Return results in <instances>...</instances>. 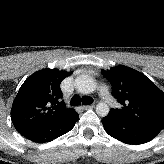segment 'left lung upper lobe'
Masks as SVG:
<instances>
[{"mask_svg": "<svg viewBox=\"0 0 164 164\" xmlns=\"http://www.w3.org/2000/svg\"><path fill=\"white\" fill-rule=\"evenodd\" d=\"M102 74L111 83L112 95L120 104L110 113L150 129L164 128V93L148 77L122 65L102 70Z\"/></svg>", "mask_w": 164, "mask_h": 164, "instance_id": "1", "label": "left lung upper lobe"}]
</instances>
